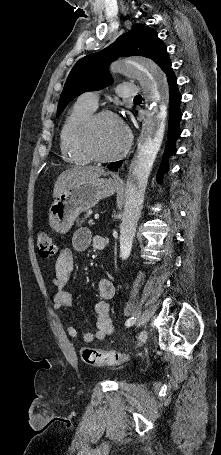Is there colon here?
Returning a JSON list of instances; mask_svg holds the SVG:
<instances>
[{
    "label": "colon",
    "mask_w": 221,
    "mask_h": 455,
    "mask_svg": "<svg viewBox=\"0 0 221 455\" xmlns=\"http://www.w3.org/2000/svg\"><path fill=\"white\" fill-rule=\"evenodd\" d=\"M38 253L43 258H48L54 255L56 247L52 237L41 232L37 238ZM82 360L89 365L94 366H115L127 360L123 353L115 351H103L84 347L81 350Z\"/></svg>",
    "instance_id": "1"
}]
</instances>
